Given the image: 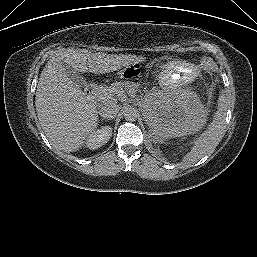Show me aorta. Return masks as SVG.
<instances>
[{
    "instance_id": "obj_1",
    "label": "aorta",
    "mask_w": 257,
    "mask_h": 257,
    "mask_svg": "<svg viewBox=\"0 0 257 257\" xmlns=\"http://www.w3.org/2000/svg\"><path fill=\"white\" fill-rule=\"evenodd\" d=\"M124 118L133 122L138 118V111L134 107L128 106L124 109Z\"/></svg>"
}]
</instances>
